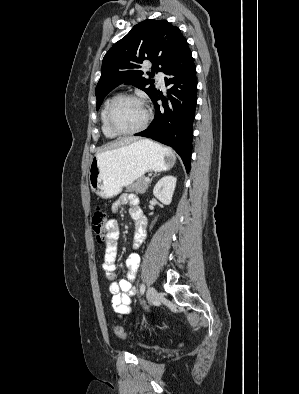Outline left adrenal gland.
<instances>
[{"instance_id":"1","label":"left adrenal gland","mask_w":299,"mask_h":394,"mask_svg":"<svg viewBox=\"0 0 299 394\" xmlns=\"http://www.w3.org/2000/svg\"><path fill=\"white\" fill-rule=\"evenodd\" d=\"M156 176V174L150 179V182L152 181V179Z\"/></svg>"}]
</instances>
